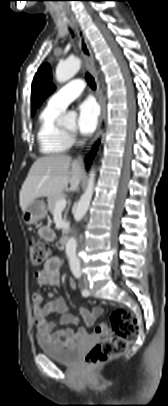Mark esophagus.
Returning <instances> with one entry per match:
<instances>
[{
	"mask_svg": "<svg viewBox=\"0 0 168 406\" xmlns=\"http://www.w3.org/2000/svg\"><path fill=\"white\" fill-rule=\"evenodd\" d=\"M72 22L74 24V27L77 31L78 34V38H79V47L81 49L82 55L86 61V66L87 69L90 71V73L92 74L95 84H96V93H97V97L99 100V103L101 105V117H100V123L98 125V129L96 132V135L92 141V143L88 146V150H90L91 146L100 138L102 131H103V120H104V116H105V105L102 99V91L100 88V83L97 77V74L95 72V65H94V57L92 54V50L89 46L87 37L85 35L84 30L82 29V27L78 24V22L75 19H72ZM78 161L82 162L83 161V156L80 155L78 157Z\"/></svg>",
	"mask_w": 168,
	"mask_h": 406,
	"instance_id": "obj_1",
	"label": "esophagus"
}]
</instances>
